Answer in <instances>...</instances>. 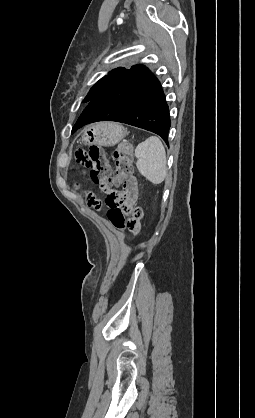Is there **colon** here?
<instances>
[{
  "label": "colon",
  "instance_id": "colon-1",
  "mask_svg": "<svg viewBox=\"0 0 255 418\" xmlns=\"http://www.w3.org/2000/svg\"><path fill=\"white\" fill-rule=\"evenodd\" d=\"M115 159V173L112 174L107 164L103 151L98 146H92L88 151L79 149L75 153L76 161L82 167L88 169L90 180L99 186L100 190L108 193L106 205L108 207L107 216L111 223L118 229L127 228L133 233H138L141 229V219L143 212L140 206L136 205L131 210V215L127 219L121 205L124 197L117 191H112L122 181L128 179L133 171L132 147L129 143L119 144L113 151ZM90 205L99 207L98 202L91 196L88 198Z\"/></svg>",
  "mask_w": 255,
  "mask_h": 418
}]
</instances>
